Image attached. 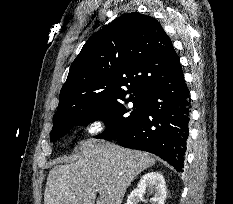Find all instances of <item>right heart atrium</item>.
I'll use <instances>...</instances> for the list:
<instances>
[{
    "instance_id": "right-heart-atrium-1",
    "label": "right heart atrium",
    "mask_w": 233,
    "mask_h": 204,
    "mask_svg": "<svg viewBox=\"0 0 233 204\" xmlns=\"http://www.w3.org/2000/svg\"><path fill=\"white\" fill-rule=\"evenodd\" d=\"M109 124L108 116L101 112L91 116L84 124L83 131L87 136H96L103 133Z\"/></svg>"
}]
</instances>
